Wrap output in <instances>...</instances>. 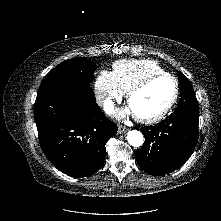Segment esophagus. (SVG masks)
Here are the masks:
<instances>
[{"label": "esophagus", "mask_w": 221, "mask_h": 221, "mask_svg": "<svg viewBox=\"0 0 221 221\" xmlns=\"http://www.w3.org/2000/svg\"><path fill=\"white\" fill-rule=\"evenodd\" d=\"M127 131H128V128H127V127L122 126V125H119V126H118V133H119V134L125 133V132H127Z\"/></svg>", "instance_id": "1"}]
</instances>
